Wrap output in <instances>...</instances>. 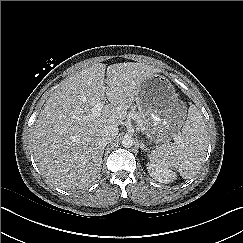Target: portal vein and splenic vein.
Segmentation results:
<instances>
[{
	"instance_id": "obj_1",
	"label": "portal vein and splenic vein",
	"mask_w": 243,
	"mask_h": 243,
	"mask_svg": "<svg viewBox=\"0 0 243 243\" xmlns=\"http://www.w3.org/2000/svg\"><path fill=\"white\" fill-rule=\"evenodd\" d=\"M105 102L102 101L100 103H97L96 105H94L91 109V116L92 117H96L100 115V112L102 110V108L104 107Z\"/></svg>"
}]
</instances>
